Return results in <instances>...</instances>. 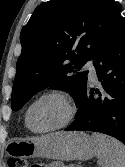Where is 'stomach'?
Segmentation results:
<instances>
[{
	"label": "stomach",
	"instance_id": "stomach-1",
	"mask_svg": "<svg viewBox=\"0 0 125 167\" xmlns=\"http://www.w3.org/2000/svg\"><path fill=\"white\" fill-rule=\"evenodd\" d=\"M20 157H42L59 161L88 160L96 154L94 139L84 132H56L12 142Z\"/></svg>",
	"mask_w": 125,
	"mask_h": 167
}]
</instances>
